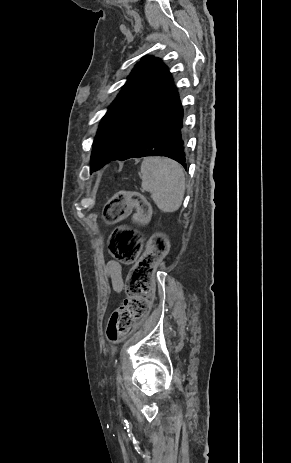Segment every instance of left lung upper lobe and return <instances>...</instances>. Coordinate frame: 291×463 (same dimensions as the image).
I'll list each match as a JSON object with an SVG mask.
<instances>
[{"label":"left lung upper lobe","mask_w":291,"mask_h":463,"mask_svg":"<svg viewBox=\"0 0 291 463\" xmlns=\"http://www.w3.org/2000/svg\"><path fill=\"white\" fill-rule=\"evenodd\" d=\"M178 101L172 76L162 61L152 56L143 58L100 123L90 166L127 154L174 109Z\"/></svg>","instance_id":"obj_1"}]
</instances>
